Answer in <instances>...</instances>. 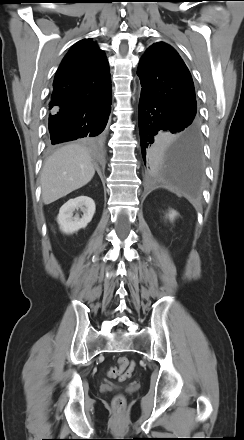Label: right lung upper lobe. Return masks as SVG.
Instances as JSON below:
<instances>
[{"mask_svg":"<svg viewBox=\"0 0 244 440\" xmlns=\"http://www.w3.org/2000/svg\"><path fill=\"white\" fill-rule=\"evenodd\" d=\"M105 54L90 39L76 43L62 60L53 83L50 112H71L111 96Z\"/></svg>","mask_w":244,"mask_h":440,"instance_id":"1","label":"right lung upper lobe"}]
</instances>
